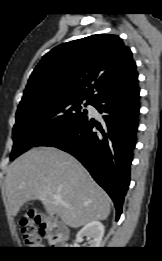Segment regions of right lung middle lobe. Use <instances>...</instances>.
<instances>
[{"mask_svg": "<svg viewBox=\"0 0 162 261\" xmlns=\"http://www.w3.org/2000/svg\"><path fill=\"white\" fill-rule=\"evenodd\" d=\"M85 99L80 96L53 95L21 101L13 127L11 160L57 129L86 116L87 110L81 106ZM86 100L87 104L92 105L93 101Z\"/></svg>", "mask_w": 162, "mask_h": 261, "instance_id": "obj_1", "label": "right lung middle lobe"}]
</instances>
